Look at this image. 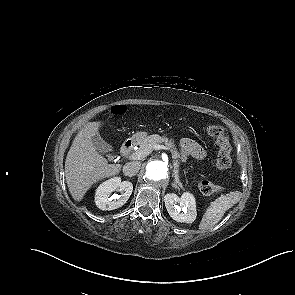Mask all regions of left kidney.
<instances>
[{
	"label": "left kidney",
	"mask_w": 295,
	"mask_h": 295,
	"mask_svg": "<svg viewBox=\"0 0 295 295\" xmlns=\"http://www.w3.org/2000/svg\"><path fill=\"white\" fill-rule=\"evenodd\" d=\"M165 207L170 217L183 223H192L196 219V201L193 194L184 192L181 197L174 193L165 195Z\"/></svg>",
	"instance_id": "5707ae66"
}]
</instances>
